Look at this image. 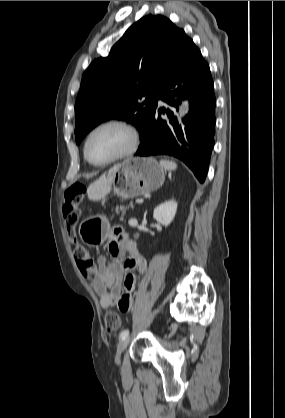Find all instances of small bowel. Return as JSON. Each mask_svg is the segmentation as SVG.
Returning a JSON list of instances; mask_svg holds the SVG:
<instances>
[{
	"label": "small bowel",
	"instance_id": "1",
	"mask_svg": "<svg viewBox=\"0 0 285 418\" xmlns=\"http://www.w3.org/2000/svg\"><path fill=\"white\" fill-rule=\"evenodd\" d=\"M108 251L114 258L129 254L123 264L108 262L105 255L98 258L99 270L92 281V287L99 297L103 309L117 307L121 312L132 310L133 295L136 290L137 276L147 270V262L141 256L135 244L124 233H116L108 244Z\"/></svg>",
	"mask_w": 285,
	"mask_h": 418
}]
</instances>
